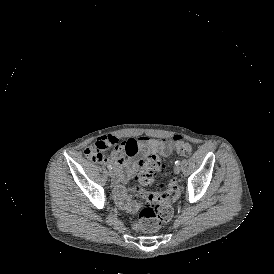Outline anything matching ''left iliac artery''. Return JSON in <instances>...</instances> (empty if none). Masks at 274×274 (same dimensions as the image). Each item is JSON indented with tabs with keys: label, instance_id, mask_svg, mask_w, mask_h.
Masks as SVG:
<instances>
[{
	"label": "left iliac artery",
	"instance_id": "1",
	"mask_svg": "<svg viewBox=\"0 0 274 274\" xmlns=\"http://www.w3.org/2000/svg\"><path fill=\"white\" fill-rule=\"evenodd\" d=\"M175 165L176 166L180 165V161L179 160L175 161Z\"/></svg>",
	"mask_w": 274,
	"mask_h": 274
}]
</instances>
